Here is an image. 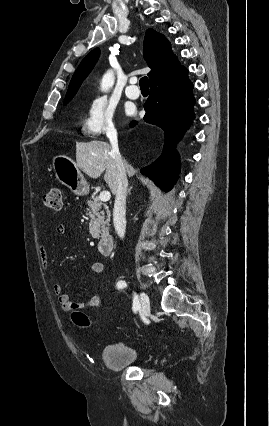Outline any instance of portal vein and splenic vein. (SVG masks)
<instances>
[{
    "mask_svg": "<svg viewBox=\"0 0 269 426\" xmlns=\"http://www.w3.org/2000/svg\"><path fill=\"white\" fill-rule=\"evenodd\" d=\"M111 198V194L108 191H102L99 195V200L102 202H107Z\"/></svg>",
    "mask_w": 269,
    "mask_h": 426,
    "instance_id": "obj_1",
    "label": "portal vein and splenic vein"
}]
</instances>
